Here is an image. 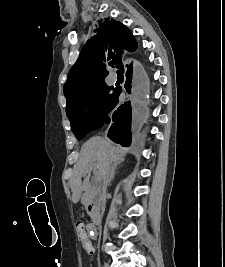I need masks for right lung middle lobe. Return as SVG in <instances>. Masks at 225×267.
<instances>
[{"label": "right lung middle lobe", "mask_w": 225, "mask_h": 267, "mask_svg": "<svg viewBox=\"0 0 225 267\" xmlns=\"http://www.w3.org/2000/svg\"><path fill=\"white\" fill-rule=\"evenodd\" d=\"M118 88L106 83L90 86L74 100L67 102L66 113L78 140L102 126L117 96Z\"/></svg>", "instance_id": "dd1d6c3e"}]
</instances>
